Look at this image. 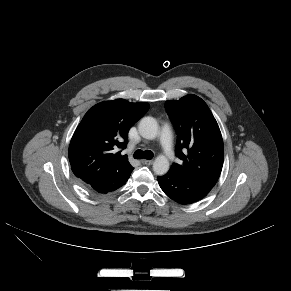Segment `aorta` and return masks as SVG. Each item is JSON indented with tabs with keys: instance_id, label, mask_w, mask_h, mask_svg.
<instances>
[{
	"instance_id": "1",
	"label": "aorta",
	"mask_w": 291,
	"mask_h": 291,
	"mask_svg": "<svg viewBox=\"0 0 291 291\" xmlns=\"http://www.w3.org/2000/svg\"><path fill=\"white\" fill-rule=\"evenodd\" d=\"M140 135L145 139H155L158 135V123L153 117H143L138 125ZM153 170L157 175H164L169 170V160L159 155L153 163Z\"/></svg>"
}]
</instances>
